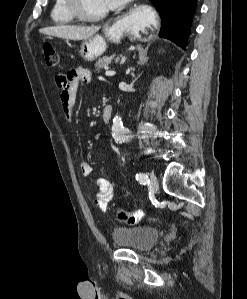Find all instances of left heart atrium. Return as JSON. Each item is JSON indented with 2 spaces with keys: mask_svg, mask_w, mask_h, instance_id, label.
I'll return each mask as SVG.
<instances>
[{
  "mask_svg": "<svg viewBox=\"0 0 247 299\" xmlns=\"http://www.w3.org/2000/svg\"><path fill=\"white\" fill-rule=\"evenodd\" d=\"M104 1H105L107 8L114 9V8L121 6L128 0H104Z\"/></svg>",
  "mask_w": 247,
  "mask_h": 299,
  "instance_id": "1",
  "label": "left heart atrium"
}]
</instances>
